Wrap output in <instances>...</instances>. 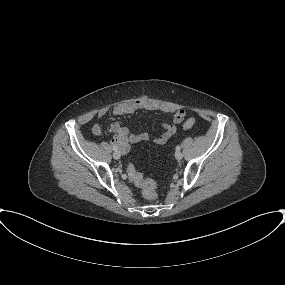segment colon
<instances>
[{
	"mask_svg": "<svg viewBox=\"0 0 285 285\" xmlns=\"http://www.w3.org/2000/svg\"><path fill=\"white\" fill-rule=\"evenodd\" d=\"M181 118H182V113H179L177 115V119H181ZM194 125H195V119L189 118L184 121L183 128L190 129ZM127 172H128L130 180L134 184L142 188V193L144 197H146L147 199L157 198L154 181L144 178L142 173H140L132 163H129L127 165Z\"/></svg>",
	"mask_w": 285,
	"mask_h": 285,
	"instance_id": "colon-1",
	"label": "colon"
}]
</instances>
